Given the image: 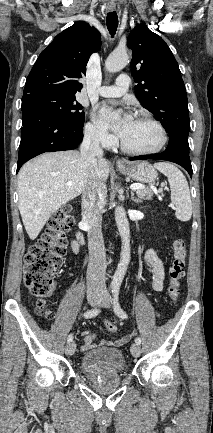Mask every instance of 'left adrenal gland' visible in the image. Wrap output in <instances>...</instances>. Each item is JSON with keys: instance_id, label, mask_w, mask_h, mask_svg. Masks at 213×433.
I'll return each instance as SVG.
<instances>
[{"instance_id": "obj_1", "label": "left adrenal gland", "mask_w": 213, "mask_h": 433, "mask_svg": "<svg viewBox=\"0 0 213 433\" xmlns=\"http://www.w3.org/2000/svg\"><path fill=\"white\" fill-rule=\"evenodd\" d=\"M131 200L135 203H141V200L134 197V193L131 191Z\"/></svg>"}]
</instances>
